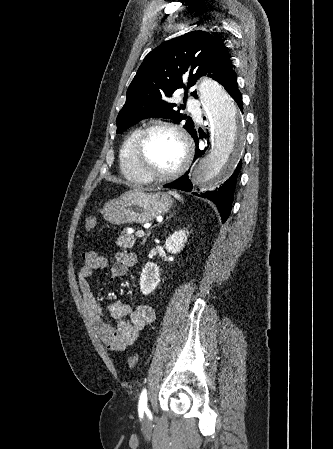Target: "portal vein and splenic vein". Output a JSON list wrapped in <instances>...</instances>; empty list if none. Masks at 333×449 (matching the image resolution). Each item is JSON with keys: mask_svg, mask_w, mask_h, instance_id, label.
<instances>
[{"mask_svg": "<svg viewBox=\"0 0 333 449\" xmlns=\"http://www.w3.org/2000/svg\"><path fill=\"white\" fill-rule=\"evenodd\" d=\"M136 234L137 236L142 237L145 233L143 231H137Z\"/></svg>", "mask_w": 333, "mask_h": 449, "instance_id": "1", "label": "portal vein and splenic vein"}]
</instances>
